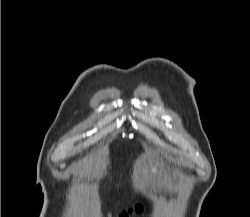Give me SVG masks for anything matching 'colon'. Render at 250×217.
<instances>
[{
	"mask_svg": "<svg viewBox=\"0 0 250 217\" xmlns=\"http://www.w3.org/2000/svg\"><path fill=\"white\" fill-rule=\"evenodd\" d=\"M121 217H129V214H128V213H123V214L121 215Z\"/></svg>",
	"mask_w": 250,
	"mask_h": 217,
	"instance_id": "5ec220e1",
	"label": "colon"
}]
</instances>
